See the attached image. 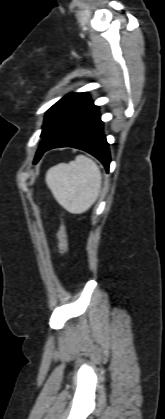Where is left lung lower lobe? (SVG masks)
Masks as SVG:
<instances>
[{
	"instance_id": "1",
	"label": "left lung lower lobe",
	"mask_w": 165,
	"mask_h": 419,
	"mask_svg": "<svg viewBox=\"0 0 165 419\" xmlns=\"http://www.w3.org/2000/svg\"><path fill=\"white\" fill-rule=\"evenodd\" d=\"M74 147L84 150L102 162L109 170L110 153L103 134V122L93 101L79 104L65 114L44 136L35 156L36 163L44 152L52 148Z\"/></svg>"
}]
</instances>
